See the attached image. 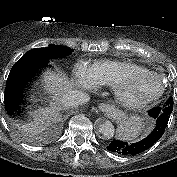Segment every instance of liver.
Listing matches in <instances>:
<instances>
[{"label": "liver", "mask_w": 177, "mask_h": 177, "mask_svg": "<svg viewBox=\"0 0 177 177\" xmlns=\"http://www.w3.org/2000/svg\"><path fill=\"white\" fill-rule=\"evenodd\" d=\"M42 85L47 92L53 94L54 102L50 103V107L39 109L34 113V121L26 125V129L31 133L41 132L50 124L61 110L62 97L72 90L65 76L51 71L43 74Z\"/></svg>", "instance_id": "obj_1"}]
</instances>
